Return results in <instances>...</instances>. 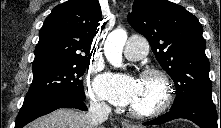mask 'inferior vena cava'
Wrapping results in <instances>:
<instances>
[{"mask_svg": "<svg viewBox=\"0 0 221 128\" xmlns=\"http://www.w3.org/2000/svg\"><path fill=\"white\" fill-rule=\"evenodd\" d=\"M110 112L111 108L108 105L91 101L90 108L87 113L89 124L96 128L99 124L108 119Z\"/></svg>", "mask_w": 221, "mask_h": 128, "instance_id": "1", "label": "inferior vena cava"}]
</instances>
